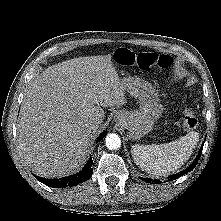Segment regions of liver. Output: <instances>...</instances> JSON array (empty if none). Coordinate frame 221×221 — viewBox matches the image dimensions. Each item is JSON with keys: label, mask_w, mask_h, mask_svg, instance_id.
Here are the masks:
<instances>
[{"label": "liver", "mask_w": 221, "mask_h": 221, "mask_svg": "<svg viewBox=\"0 0 221 221\" xmlns=\"http://www.w3.org/2000/svg\"><path fill=\"white\" fill-rule=\"evenodd\" d=\"M126 103L111 56L73 58L45 69L28 87L17 124L18 150L44 178L74 173L89 153L88 123L102 107Z\"/></svg>", "instance_id": "1"}]
</instances>
